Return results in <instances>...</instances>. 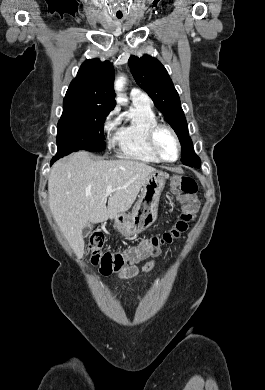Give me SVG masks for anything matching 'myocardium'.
<instances>
[{
    "label": "myocardium",
    "instance_id": "f54148a6",
    "mask_svg": "<svg viewBox=\"0 0 265 390\" xmlns=\"http://www.w3.org/2000/svg\"><path fill=\"white\" fill-rule=\"evenodd\" d=\"M161 130L168 131L172 135V137H173V139H174V141L176 143L177 154H176V157L173 160L166 159L161 154V152L159 151V149L157 147V142H156L157 134ZM146 140H147V144H148L149 149L155 154V156L161 162L174 163V162H176L179 159L180 154H181V143H180V140H179V137H178L177 133L175 132V130L170 125L165 124V123H160V122H156V123L152 124L148 128V130H147Z\"/></svg>",
    "mask_w": 265,
    "mask_h": 390
}]
</instances>
